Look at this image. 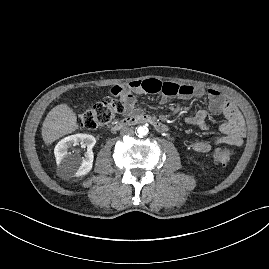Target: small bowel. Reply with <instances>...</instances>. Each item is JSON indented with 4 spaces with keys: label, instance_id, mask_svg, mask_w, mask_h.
Listing matches in <instances>:
<instances>
[{
    "label": "small bowel",
    "instance_id": "small-bowel-1",
    "mask_svg": "<svg viewBox=\"0 0 269 269\" xmlns=\"http://www.w3.org/2000/svg\"><path fill=\"white\" fill-rule=\"evenodd\" d=\"M113 90L118 91L123 103V113L125 115H135L139 113L135 94L161 93L162 103L170 97H177L182 101H187L192 97L208 99V111L213 114H222L226 122L221 124L220 135L212 139L213 143H228L235 146L242 144L245 136L244 119L240 111L227 99H225L216 89H205L201 86L179 85L170 82H162L157 79L136 80L121 86H115ZM207 111L201 109L194 116L188 117L187 122L200 130H207ZM194 152H207L211 144L205 140H195L190 144Z\"/></svg>",
    "mask_w": 269,
    "mask_h": 269
}]
</instances>
